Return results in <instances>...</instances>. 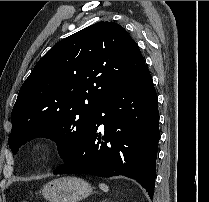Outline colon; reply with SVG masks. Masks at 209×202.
Returning a JSON list of instances; mask_svg holds the SVG:
<instances>
[{
  "mask_svg": "<svg viewBox=\"0 0 209 202\" xmlns=\"http://www.w3.org/2000/svg\"><path fill=\"white\" fill-rule=\"evenodd\" d=\"M17 202H29V201H27V200H20V201H17Z\"/></svg>",
  "mask_w": 209,
  "mask_h": 202,
  "instance_id": "5ec220e1",
  "label": "colon"
}]
</instances>
